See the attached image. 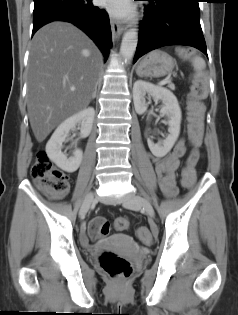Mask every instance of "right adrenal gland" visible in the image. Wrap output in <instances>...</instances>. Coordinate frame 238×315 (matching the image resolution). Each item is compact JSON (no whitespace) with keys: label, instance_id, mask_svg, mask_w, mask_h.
I'll list each match as a JSON object with an SVG mask.
<instances>
[{"label":"right adrenal gland","instance_id":"obj_1","mask_svg":"<svg viewBox=\"0 0 238 315\" xmlns=\"http://www.w3.org/2000/svg\"><path fill=\"white\" fill-rule=\"evenodd\" d=\"M96 92H97V83L95 85V90L91 99H94L96 97Z\"/></svg>","mask_w":238,"mask_h":315}]
</instances>
